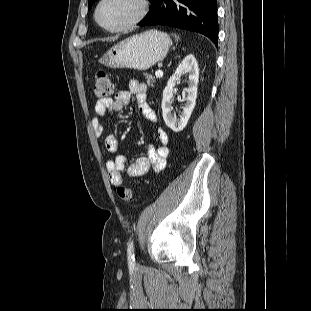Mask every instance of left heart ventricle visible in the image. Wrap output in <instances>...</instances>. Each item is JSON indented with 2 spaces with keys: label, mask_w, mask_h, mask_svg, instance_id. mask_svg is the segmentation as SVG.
<instances>
[{
  "label": "left heart ventricle",
  "mask_w": 311,
  "mask_h": 311,
  "mask_svg": "<svg viewBox=\"0 0 311 311\" xmlns=\"http://www.w3.org/2000/svg\"><path fill=\"white\" fill-rule=\"evenodd\" d=\"M136 12L133 0H106L99 12L100 20L109 27H117L130 20Z\"/></svg>",
  "instance_id": "left-heart-ventricle-1"
}]
</instances>
